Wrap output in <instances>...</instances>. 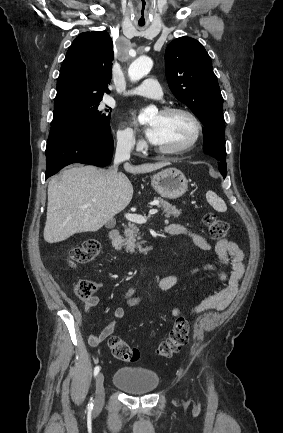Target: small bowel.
<instances>
[{
    "label": "small bowel",
    "mask_w": 283,
    "mask_h": 433,
    "mask_svg": "<svg viewBox=\"0 0 283 433\" xmlns=\"http://www.w3.org/2000/svg\"><path fill=\"white\" fill-rule=\"evenodd\" d=\"M166 231L172 235H187L194 244L201 250H210L211 246L201 235L191 231L181 224H170L167 226ZM214 251L224 266L223 270H219L214 264H204L202 266L194 267L184 273L177 275H169L161 278L158 282V288L161 291H168L182 282H185L201 272H217L219 279L225 284V287L218 293L209 296L198 303L190 310V315H195L210 309L223 310L236 296L241 279L244 275V253L237 243L229 240H220L214 246ZM125 300L127 305L135 306L140 302V297L136 295L135 288H129L125 293ZM99 297L92 295L87 299H83V311L87 317H92L95 307L99 304ZM174 316L180 314V310L172 308L169 310ZM125 310L123 307H118L114 310L113 316L108 324L99 332L91 333L89 335V343L91 346H98L108 337H110L116 324L123 319ZM80 322L82 320L81 314L77 315Z\"/></svg>",
    "instance_id": "small-bowel-1"
}]
</instances>
